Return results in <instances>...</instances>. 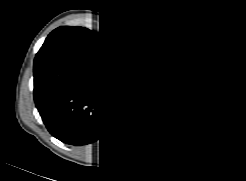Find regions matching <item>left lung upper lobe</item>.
I'll use <instances>...</instances> for the list:
<instances>
[{
	"label": "left lung upper lobe",
	"mask_w": 246,
	"mask_h": 181,
	"mask_svg": "<svg viewBox=\"0 0 246 181\" xmlns=\"http://www.w3.org/2000/svg\"><path fill=\"white\" fill-rule=\"evenodd\" d=\"M183 37L187 45L186 55L188 58L204 54H208L213 57L212 52L202 44L203 39L201 38V36H199L195 32H186Z\"/></svg>",
	"instance_id": "5c2ea615"
}]
</instances>
